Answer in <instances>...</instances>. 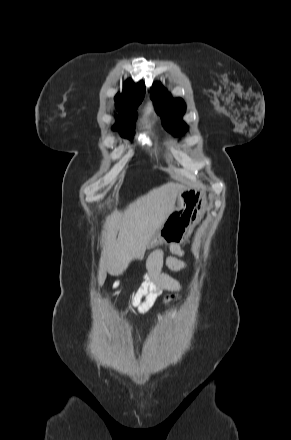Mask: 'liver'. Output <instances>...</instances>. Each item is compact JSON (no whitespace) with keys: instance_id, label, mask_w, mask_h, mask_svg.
<instances>
[{"instance_id":"obj_1","label":"liver","mask_w":291,"mask_h":440,"mask_svg":"<svg viewBox=\"0 0 291 440\" xmlns=\"http://www.w3.org/2000/svg\"><path fill=\"white\" fill-rule=\"evenodd\" d=\"M183 187L167 183L154 188L129 204L124 211L114 210L102 231L99 284L112 275L122 274L131 261L139 259L167 215L174 209Z\"/></svg>"}]
</instances>
